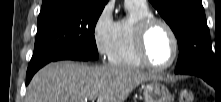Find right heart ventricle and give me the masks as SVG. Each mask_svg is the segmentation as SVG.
I'll use <instances>...</instances> for the list:
<instances>
[{
  "mask_svg": "<svg viewBox=\"0 0 221 102\" xmlns=\"http://www.w3.org/2000/svg\"><path fill=\"white\" fill-rule=\"evenodd\" d=\"M128 14L117 21L116 34L109 60L112 64L124 67H142L134 46V32L137 23L153 16L147 5L126 2Z\"/></svg>",
  "mask_w": 221,
  "mask_h": 102,
  "instance_id": "right-heart-ventricle-1",
  "label": "right heart ventricle"
}]
</instances>
